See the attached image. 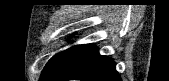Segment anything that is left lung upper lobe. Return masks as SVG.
I'll use <instances>...</instances> for the list:
<instances>
[{
	"instance_id": "obj_1",
	"label": "left lung upper lobe",
	"mask_w": 169,
	"mask_h": 81,
	"mask_svg": "<svg viewBox=\"0 0 169 81\" xmlns=\"http://www.w3.org/2000/svg\"><path fill=\"white\" fill-rule=\"evenodd\" d=\"M63 52H60L56 55H54L49 61L48 63L46 64V66L44 67L43 69V72L42 74L48 72L52 67L53 65L58 61V59L60 58V56L62 55Z\"/></svg>"
}]
</instances>
